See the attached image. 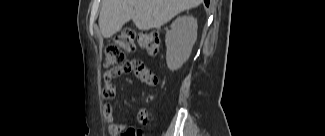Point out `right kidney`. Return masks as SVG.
I'll return each mask as SVG.
<instances>
[{
    "label": "right kidney",
    "instance_id": "right-kidney-1",
    "mask_svg": "<svg viewBox=\"0 0 325 136\" xmlns=\"http://www.w3.org/2000/svg\"><path fill=\"white\" fill-rule=\"evenodd\" d=\"M197 39V20L192 16L178 17L166 33V62L171 71L178 70L189 58Z\"/></svg>",
    "mask_w": 325,
    "mask_h": 136
}]
</instances>
